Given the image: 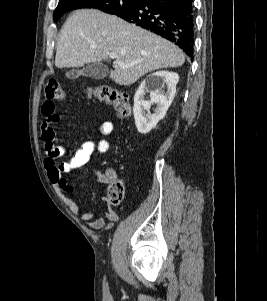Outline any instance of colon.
I'll use <instances>...</instances> for the list:
<instances>
[{"label":"colon","instance_id":"1","mask_svg":"<svg viewBox=\"0 0 267 301\" xmlns=\"http://www.w3.org/2000/svg\"><path fill=\"white\" fill-rule=\"evenodd\" d=\"M87 96L96 98L112 105L121 117H127L130 112L128 96L115 88L109 86L90 87L86 91ZM45 98L49 100H64L65 91L55 80H49L45 84ZM108 197L112 204H119L124 198L125 187L123 182L112 177L109 182Z\"/></svg>","mask_w":267,"mask_h":301}]
</instances>
